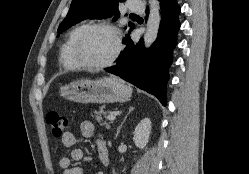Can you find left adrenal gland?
<instances>
[{
	"instance_id": "left-adrenal-gland-1",
	"label": "left adrenal gland",
	"mask_w": 249,
	"mask_h": 174,
	"mask_svg": "<svg viewBox=\"0 0 249 174\" xmlns=\"http://www.w3.org/2000/svg\"><path fill=\"white\" fill-rule=\"evenodd\" d=\"M133 110H134V107H130V108H129V111H128L127 115L125 116L124 120H123L122 123L119 125V127L117 128L116 137L119 135L120 130H121V128H122L124 122L126 121L128 115H129Z\"/></svg>"
}]
</instances>
